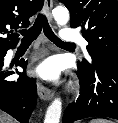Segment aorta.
<instances>
[{"label":"aorta","instance_id":"aorta-1","mask_svg":"<svg viewBox=\"0 0 118 123\" xmlns=\"http://www.w3.org/2000/svg\"><path fill=\"white\" fill-rule=\"evenodd\" d=\"M53 17L58 25L64 26L69 21V11L63 6H58L53 9ZM62 112V101L61 98H55L49 105L44 123H59Z\"/></svg>","mask_w":118,"mask_h":123}]
</instances>
